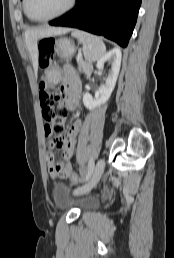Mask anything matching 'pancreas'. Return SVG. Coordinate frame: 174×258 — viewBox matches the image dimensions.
I'll use <instances>...</instances> for the list:
<instances>
[{"instance_id":"pancreas-1","label":"pancreas","mask_w":174,"mask_h":258,"mask_svg":"<svg viewBox=\"0 0 174 258\" xmlns=\"http://www.w3.org/2000/svg\"><path fill=\"white\" fill-rule=\"evenodd\" d=\"M77 63H78L80 72H85L86 74H89L91 72L92 65L84 62L82 58L77 60Z\"/></svg>"}]
</instances>
